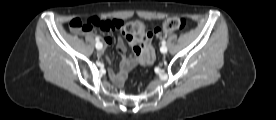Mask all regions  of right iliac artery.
I'll return each mask as SVG.
<instances>
[{
  "label": "right iliac artery",
  "instance_id": "1",
  "mask_svg": "<svg viewBox=\"0 0 276 120\" xmlns=\"http://www.w3.org/2000/svg\"><path fill=\"white\" fill-rule=\"evenodd\" d=\"M97 43H99V37H96ZM98 48H102V45H100Z\"/></svg>",
  "mask_w": 276,
  "mask_h": 120
}]
</instances>
